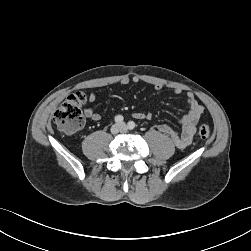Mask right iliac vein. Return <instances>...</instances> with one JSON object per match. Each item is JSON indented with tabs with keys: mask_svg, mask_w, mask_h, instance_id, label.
<instances>
[{
	"mask_svg": "<svg viewBox=\"0 0 251 251\" xmlns=\"http://www.w3.org/2000/svg\"><path fill=\"white\" fill-rule=\"evenodd\" d=\"M120 131H121V126L118 125V124L113 125L112 128H111L112 134H117V133H119Z\"/></svg>",
	"mask_w": 251,
	"mask_h": 251,
	"instance_id": "63e3f726",
	"label": "right iliac vein"
}]
</instances>
